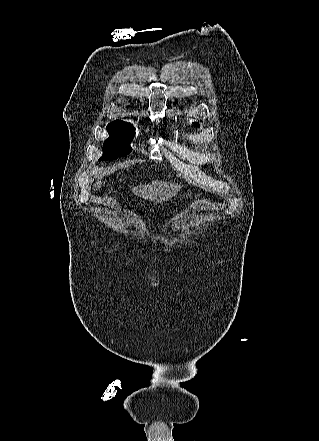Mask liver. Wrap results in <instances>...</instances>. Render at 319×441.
<instances>
[{"instance_id": "liver-1", "label": "liver", "mask_w": 319, "mask_h": 441, "mask_svg": "<svg viewBox=\"0 0 319 441\" xmlns=\"http://www.w3.org/2000/svg\"><path fill=\"white\" fill-rule=\"evenodd\" d=\"M102 184L105 185V182L102 183L101 181H98L94 186L95 189H100ZM180 188L181 185L178 184L154 180L150 184L133 187L132 192L136 196L152 200L154 202H163L168 201L173 196H175Z\"/></svg>"}]
</instances>
